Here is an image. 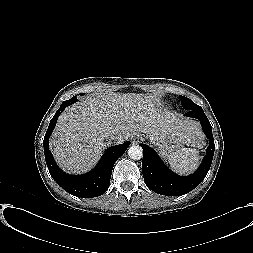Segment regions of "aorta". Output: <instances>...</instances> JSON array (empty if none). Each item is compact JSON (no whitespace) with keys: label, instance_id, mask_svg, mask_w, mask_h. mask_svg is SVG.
Returning <instances> with one entry per match:
<instances>
[{"label":"aorta","instance_id":"aorta-1","mask_svg":"<svg viewBox=\"0 0 253 253\" xmlns=\"http://www.w3.org/2000/svg\"><path fill=\"white\" fill-rule=\"evenodd\" d=\"M128 156L133 160H140L143 157V149L139 145H132L128 148Z\"/></svg>","mask_w":253,"mask_h":253}]
</instances>
